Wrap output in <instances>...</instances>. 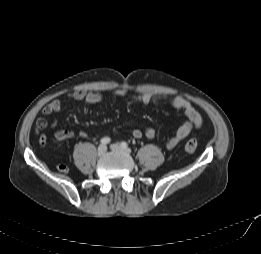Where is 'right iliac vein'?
<instances>
[{
    "label": "right iliac vein",
    "mask_w": 261,
    "mask_h": 254,
    "mask_svg": "<svg viewBox=\"0 0 261 254\" xmlns=\"http://www.w3.org/2000/svg\"><path fill=\"white\" fill-rule=\"evenodd\" d=\"M107 151V147L105 145H100L97 149V155L103 156Z\"/></svg>",
    "instance_id": "obj_1"
}]
</instances>
